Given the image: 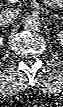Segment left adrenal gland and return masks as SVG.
Here are the masks:
<instances>
[{
	"mask_svg": "<svg viewBox=\"0 0 63 107\" xmlns=\"http://www.w3.org/2000/svg\"><path fill=\"white\" fill-rule=\"evenodd\" d=\"M50 18H52L53 21H55L56 19H62V17L57 14L50 15Z\"/></svg>",
	"mask_w": 63,
	"mask_h": 107,
	"instance_id": "obj_1",
	"label": "left adrenal gland"
}]
</instances>
